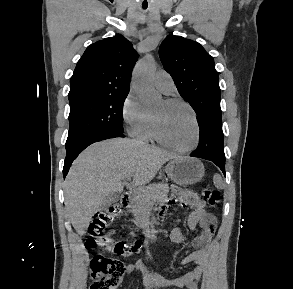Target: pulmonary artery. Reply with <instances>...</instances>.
Segmentation results:
<instances>
[{
	"instance_id": "pulmonary-artery-1",
	"label": "pulmonary artery",
	"mask_w": 293,
	"mask_h": 289,
	"mask_svg": "<svg viewBox=\"0 0 293 289\" xmlns=\"http://www.w3.org/2000/svg\"><path fill=\"white\" fill-rule=\"evenodd\" d=\"M155 86L163 93L170 94L174 91V82L169 73L158 71L154 78Z\"/></svg>"
}]
</instances>
